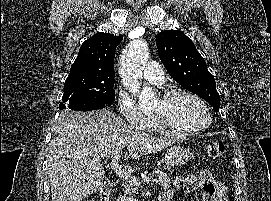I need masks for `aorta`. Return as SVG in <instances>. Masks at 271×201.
<instances>
[{
    "instance_id": "762f6f07",
    "label": "aorta",
    "mask_w": 271,
    "mask_h": 201,
    "mask_svg": "<svg viewBox=\"0 0 271 201\" xmlns=\"http://www.w3.org/2000/svg\"><path fill=\"white\" fill-rule=\"evenodd\" d=\"M148 57L147 42L137 39L126 46L119 59V71L125 85L143 106L150 105L155 100L154 93L149 89H141L139 83Z\"/></svg>"
}]
</instances>
